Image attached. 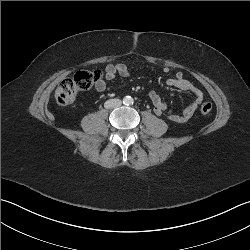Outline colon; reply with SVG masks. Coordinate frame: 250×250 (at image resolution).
I'll return each instance as SVG.
<instances>
[{"label": "colon", "instance_id": "1", "mask_svg": "<svg viewBox=\"0 0 250 250\" xmlns=\"http://www.w3.org/2000/svg\"><path fill=\"white\" fill-rule=\"evenodd\" d=\"M101 79L100 71H78L73 77L61 81L55 91V98L59 105L68 106L75 102L80 91L90 89ZM212 110V105L205 102L201 105L200 111L203 115H208Z\"/></svg>", "mask_w": 250, "mask_h": 250}]
</instances>
